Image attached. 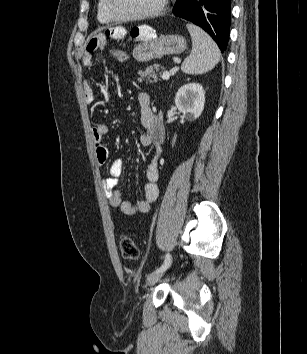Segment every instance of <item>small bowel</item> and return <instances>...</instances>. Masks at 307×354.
I'll list each match as a JSON object with an SVG mask.
<instances>
[{
	"mask_svg": "<svg viewBox=\"0 0 307 354\" xmlns=\"http://www.w3.org/2000/svg\"><path fill=\"white\" fill-rule=\"evenodd\" d=\"M132 31H125L116 27L108 30L105 34L110 39L132 38ZM104 45V39L95 37L89 41L83 55V65L91 67L95 63L94 52ZM84 95L87 102L91 103L95 99L94 89L89 81L84 83ZM138 103L141 112V123L143 132L140 134L139 142L142 146H154L160 152V145L163 141V125L151 108V97L148 93L142 92L138 96ZM109 127L105 123H98L92 129V137L95 144L96 158L99 164H105L108 158V149L103 143L104 137L108 134ZM124 161L115 159L109 168V176L103 180V188L110 204L118 207L125 215L147 213L151 209L159 195L157 181L159 170L157 156L146 167V183L143 190V198L135 203L123 200L118 188L119 178L123 172Z\"/></svg>",
	"mask_w": 307,
	"mask_h": 354,
	"instance_id": "1",
	"label": "small bowel"
}]
</instances>
